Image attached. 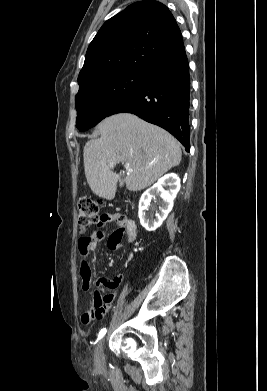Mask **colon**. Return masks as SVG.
<instances>
[{"label":"colon","mask_w":267,"mask_h":391,"mask_svg":"<svg viewBox=\"0 0 267 391\" xmlns=\"http://www.w3.org/2000/svg\"><path fill=\"white\" fill-rule=\"evenodd\" d=\"M101 218L102 216L99 214L98 202L88 196L81 197L77 207V220L82 234L78 241L80 253L86 254L93 249L94 246L91 235H84V232L88 227L99 224ZM124 220V216H118L119 222L122 223Z\"/></svg>","instance_id":"5ec220e1"}]
</instances>
